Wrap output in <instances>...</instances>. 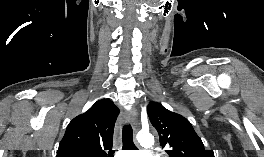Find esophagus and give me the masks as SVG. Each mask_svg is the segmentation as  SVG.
<instances>
[{"label":"esophagus","mask_w":264,"mask_h":157,"mask_svg":"<svg viewBox=\"0 0 264 157\" xmlns=\"http://www.w3.org/2000/svg\"><path fill=\"white\" fill-rule=\"evenodd\" d=\"M136 111L134 109L126 113V121L135 125L136 123Z\"/></svg>","instance_id":"34e87169"}]
</instances>
